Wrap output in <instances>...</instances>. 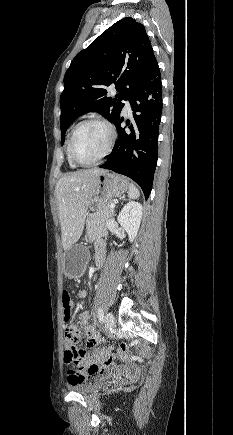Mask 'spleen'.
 I'll return each instance as SVG.
<instances>
[{
  "label": "spleen",
  "instance_id": "3e777b00",
  "mask_svg": "<svg viewBox=\"0 0 233 435\" xmlns=\"http://www.w3.org/2000/svg\"><path fill=\"white\" fill-rule=\"evenodd\" d=\"M128 196L130 199H136L140 196L138 188L133 183L129 184Z\"/></svg>",
  "mask_w": 233,
  "mask_h": 435
}]
</instances>
